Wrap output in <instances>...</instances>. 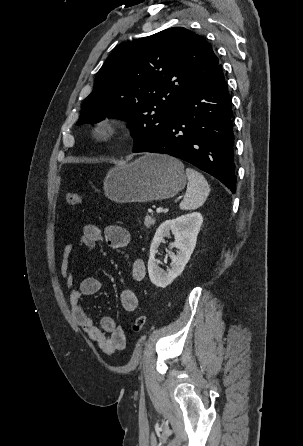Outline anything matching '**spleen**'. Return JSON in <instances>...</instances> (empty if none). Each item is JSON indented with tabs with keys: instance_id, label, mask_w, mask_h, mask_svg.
<instances>
[{
	"instance_id": "3e777b00",
	"label": "spleen",
	"mask_w": 303,
	"mask_h": 446,
	"mask_svg": "<svg viewBox=\"0 0 303 446\" xmlns=\"http://www.w3.org/2000/svg\"><path fill=\"white\" fill-rule=\"evenodd\" d=\"M186 175L188 186L186 194L180 203V209L194 210L204 204L209 195L210 187L205 177L198 171L187 168Z\"/></svg>"
}]
</instances>
